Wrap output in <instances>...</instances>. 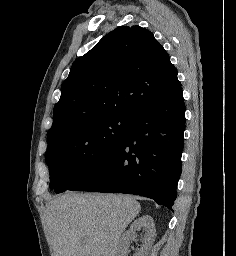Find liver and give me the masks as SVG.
Masks as SVG:
<instances>
[{"label":"liver","instance_id":"liver-1","mask_svg":"<svg viewBox=\"0 0 236 256\" xmlns=\"http://www.w3.org/2000/svg\"><path fill=\"white\" fill-rule=\"evenodd\" d=\"M140 210L133 196H57L46 208L54 256H117L124 230Z\"/></svg>","mask_w":236,"mask_h":256}]
</instances>
